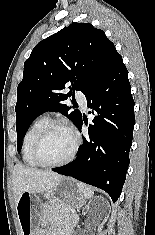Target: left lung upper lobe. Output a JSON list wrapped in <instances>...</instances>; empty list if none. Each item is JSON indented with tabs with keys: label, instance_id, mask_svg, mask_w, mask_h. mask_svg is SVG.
Returning a JSON list of instances; mask_svg holds the SVG:
<instances>
[{
	"label": "left lung upper lobe",
	"instance_id": "1",
	"mask_svg": "<svg viewBox=\"0 0 155 235\" xmlns=\"http://www.w3.org/2000/svg\"><path fill=\"white\" fill-rule=\"evenodd\" d=\"M119 57L105 33L90 23H73L40 41L24 63L17 88V150L31 123L44 112H61L77 125L81 112L64 101L74 97V90L86 96ZM65 86L70 88L67 94L61 92Z\"/></svg>",
	"mask_w": 155,
	"mask_h": 235
}]
</instances>
